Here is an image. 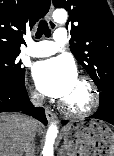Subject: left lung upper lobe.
<instances>
[{"instance_id":"1","label":"left lung upper lobe","mask_w":114,"mask_h":156,"mask_svg":"<svg viewBox=\"0 0 114 156\" xmlns=\"http://www.w3.org/2000/svg\"><path fill=\"white\" fill-rule=\"evenodd\" d=\"M69 12L70 49L98 87L100 101L114 95V16L106 0H53ZM76 22L77 25H73Z\"/></svg>"}]
</instances>
